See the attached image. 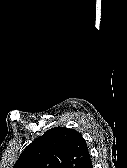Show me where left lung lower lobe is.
Returning a JSON list of instances; mask_svg holds the SVG:
<instances>
[{
    "instance_id": "obj_1",
    "label": "left lung lower lobe",
    "mask_w": 127,
    "mask_h": 168,
    "mask_svg": "<svg viewBox=\"0 0 127 168\" xmlns=\"http://www.w3.org/2000/svg\"><path fill=\"white\" fill-rule=\"evenodd\" d=\"M81 168H93L91 158H90V154H89L88 151L85 155V158H84V161H83V164H82Z\"/></svg>"
}]
</instances>
